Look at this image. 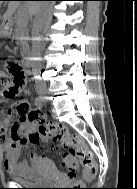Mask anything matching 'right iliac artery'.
<instances>
[{"label": "right iliac artery", "instance_id": "1", "mask_svg": "<svg viewBox=\"0 0 137 189\" xmlns=\"http://www.w3.org/2000/svg\"><path fill=\"white\" fill-rule=\"evenodd\" d=\"M36 105H37L38 107H41V106H42V99H41V98H37V99H36Z\"/></svg>", "mask_w": 137, "mask_h": 189}]
</instances>
